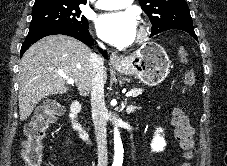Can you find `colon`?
<instances>
[{"label":"colon","instance_id":"colon-1","mask_svg":"<svg viewBox=\"0 0 227 166\" xmlns=\"http://www.w3.org/2000/svg\"><path fill=\"white\" fill-rule=\"evenodd\" d=\"M177 59L187 64L189 55L185 48L178 50ZM194 73L187 71L184 75V88L194 83ZM63 111L62 103L56 98L47 99L37 108L31 122L26 126V138L22 145V162L25 166H41L43 160V142L50 126ZM172 124L174 133L186 158L192 157L193 130L188 117L181 108L173 111Z\"/></svg>","mask_w":227,"mask_h":166}]
</instances>
